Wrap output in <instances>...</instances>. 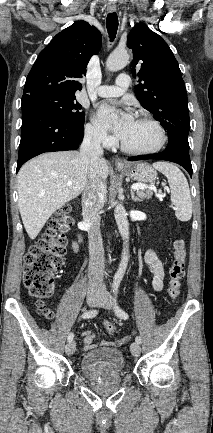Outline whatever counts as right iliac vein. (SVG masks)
Masks as SVG:
<instances>
[{
  "label": "right iliac vein",
  "instance_id": "1",
  "mask_svg": "<svg viewBox=\"0 0 213 433\" xmlns=\"http://www.w3.org/2000/svg\"><path fill=\"white\" fill-rule=\"evenodd\" d=\"M101 296L97 293H90L87 295V303L89 306L94 307L100 303ZM76 350V344L74 341H70L65 346V352L67 355H72Z\"/></svg>",
  "mask_w": 213,
  "mask_h": 433
}]
</instances>
